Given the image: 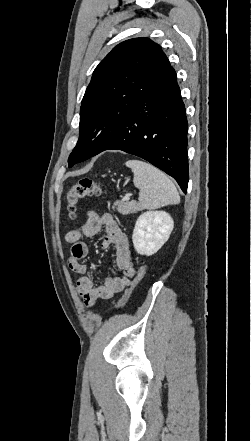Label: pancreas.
<instances>
[{
	"label": "pancreas",
	"instance_id": "pancreas-1",
	"mask_svg": "<svg viewBox=\"0 0 251 441\" xmlns=\"http://www.w3.org/2000/svg\"><path fill=\"white\" fill-rule=\"evenodd\" d=\"M115 207L117 211L123 215H128L131 213H137L142 210V206L136 201L125 202L124 200L114 202L112 209Z\"/></svg>",
	"mask_w": 251,
	"mask_h": 441
}]
</instances>
